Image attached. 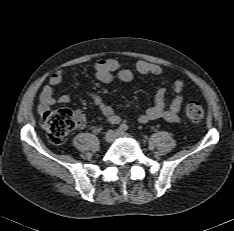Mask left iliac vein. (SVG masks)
<instances>
[{"instance_id":"left-iliac-vein-1","label":"left iliac vein","mask_w":234,"mask_h":231,"mask_svg":"<svg viewBox=\"0 0 234 231\" xmlns=\"http://www.w3.org/2000/svg\"><path fill=\"white\" fill-rule=\"evenodd\" d=\"M117 136H118V137H126V138L130 137V135H129L128 133L123 132V131H121V130H118V131H117Z\"/></svg>"}]
</instances>
